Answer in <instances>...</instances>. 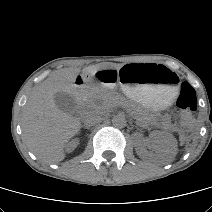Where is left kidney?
<instances>
[{"instance_id": "5707ae66", "label": "left kidney", "mask_w": 212, "mask_h": 212, "mask_svg": "<svg viewBox=\"0 0 212 212\" xmlns=\"http://www.w3.org/2000/svg\"><path fill=\"white\" fill-rule=\"evenodd\" d=\"M136 152L141 158L149 156L148 151L142 141V134L135 133ZM152 141L156 144V152L163 162H171L177 153V141L169 133L153 131L150 135Z\"/></svg>"}]
</instances>
